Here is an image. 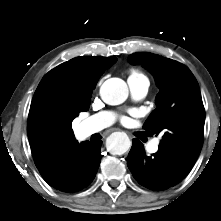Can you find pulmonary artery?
Returning a JSON list of instances; mask_svg holds the SVG:
<instances>
[{"instance_id":"obj_1","label":"pulmonary artery","mask_w":221,"mask_h":221,"mask_svg":"<svg viewBox=\"0 0 221 221\" xmlns=\"http://www.w3.org/2000/svg\"><path fill=\"white\" fill-rule=\"evenodd\" d=\"M128 86L130 93L135 100L144 98L149 89V81L145 76L129 77ZM116 115L111 111H103L91 116L85 122V132L87 134L101 131L114 123ZM159 140L155 139L146 145L149 152L155 153L158 150Z\"/></svg>"}]
</instances>
